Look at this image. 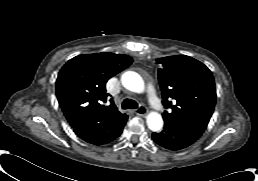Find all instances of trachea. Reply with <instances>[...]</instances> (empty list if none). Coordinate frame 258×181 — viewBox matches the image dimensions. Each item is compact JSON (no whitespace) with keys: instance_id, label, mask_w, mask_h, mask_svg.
<instances>
[{"instance_id":"1","label":"trachea","mask_w":258,"mask_h":181,"mask_svg":"<svg viewBox=\"0 0 258 181\" xmlns=\"http://www.w3.org/2000/svg\"><path fill=\"white\" fill-rule=\"evenodd\" d=\"M135 109L138 108V104L136 101L132 100V99H125L122 103V109Z\"/></svg>"}]
</instances>
